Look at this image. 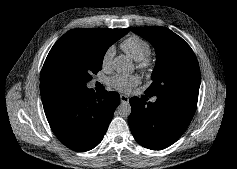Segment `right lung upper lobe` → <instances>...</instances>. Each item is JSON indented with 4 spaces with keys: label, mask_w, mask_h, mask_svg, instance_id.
<instances>
[{
    "label": "right lung upper lobe",
    "mask_w": 237,
    "mask_h": 169,
    "mask_svg": "<svg viewBox=\"0 0 237 169\" xmlns=\"http://www.w3.org/2000/svg\"><path fill=\"white\" fill-rule=\"evenodd\" d=\"M129 29H102V28H92V29H73L68 31L64 35H80L86 38L98 40L102 43L110 42L117 38L118 36H124ZM57 89V87L40 83L41 97L48 92Z\"/></svg>",
    "instance_id": "right-lung-upper-lobe-1"
}]
</instances>
